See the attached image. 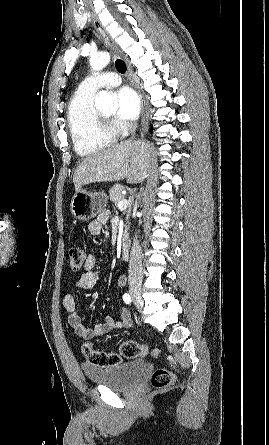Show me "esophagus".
Wrapping results in <instances>:
<instances>
[{
	"instance_id": "1",
	"label": "esophagus",
	"mask_w": 269,
	"mask_h": 445,
	"mask_svg": "<svg viewBox=\"0 0 269 445\" xmlns=\"http://www.w3.org/2000/svg\"><path fill=\"white\" fill-rule=\"evenodd\" d=\"M92 23L103 39V41L117 54L120 55V57L125 61L126 67H127V73L128 77L132 83V85L137 89L140 99H141V134L143 135L147 128H148V122H149V113H148V106L145 99L144 92L140 88L139 84L135 82L132 76V68L131 65L127 59V57L124 55V53L120 50L119 46L115 43V41L112 39V37L109 35L107 30L103 27V25L100 23L98 18L92 17Z\"/></svg>"
}]
</instances>
